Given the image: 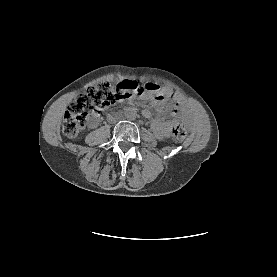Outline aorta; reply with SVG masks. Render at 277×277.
Here are the masks:
<instances>
[{
	"label": "aorta",
	"mask_w": 277,
	"mask_h": 277,
	"mask_svg": "<svg viewBox=\"0 0 277 277\" xmlns=\"http://www.w3.org/2000/svg\"><path fill=\"white\" fill-rule=\"evenodd\" d=\"M126 119L134 120L137 117V111L134 108H127L124 112Z\"/></svg>",
	"instance_id": "762f6f07"
}]
</instances>
